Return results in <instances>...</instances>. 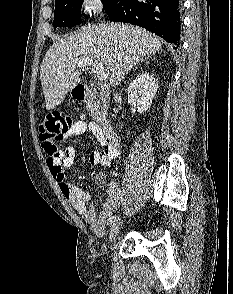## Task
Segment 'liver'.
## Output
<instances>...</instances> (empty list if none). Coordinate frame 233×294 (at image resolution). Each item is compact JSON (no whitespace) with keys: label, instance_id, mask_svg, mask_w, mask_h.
Segmentation results:
<instances>
[{"label":"liver","instance_id":"1","mask_svg":"<svg viewBox=\"0 0 233 294\" xmlns=\"http://www.w3.org/2000/svg\"><path fill=\"white\" fill-rule=\"evenodd\" d=\"M158 37L130 24L85 25L79 33L58 38L47 51L40 79L47 110L58 106L81 82L77 65L84 59L104 63L115 86L134 65L161 49Z\"/></svg>","mask_w":233,"mask_h":294}]
</instances>
